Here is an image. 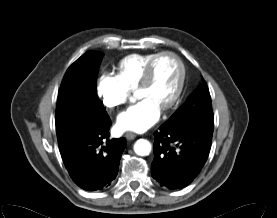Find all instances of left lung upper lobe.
<instances>
[{
  "instance_id": "obj_1",
  "label": "left lung upper lobe",
  "mask_w": 277,
  "mask_h": 218,
  "mask_svg": "<svg viewBox=\"0 0 277 218\" xmlns=\"http://www.w3.org/2000/svg\"><path fill=\"white\" fill-rule=\"evenodd\" d=\"M211 102L209 89L206 82L203 81L200 88L167 122L171 124H185L192 121L213 120Z\"/></svg>"
}]
</instances>
